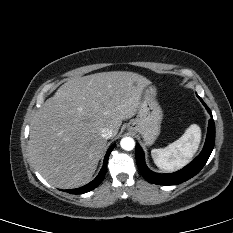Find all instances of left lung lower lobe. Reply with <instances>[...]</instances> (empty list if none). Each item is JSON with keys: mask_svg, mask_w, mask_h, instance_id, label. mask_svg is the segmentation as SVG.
Returning a JSON list of instances; mask_svg holds the SVG:
<instances>
[{"mask_svg": "<svg viewBox=\"0 0 233 233\" xmlns=\"http://www.w3.org/2000/svg\"><path fill=\"white\" fill-rule=\"evenodd\" d=\"M200 101L203 103L207 111L211 114L210 109L203 102V100L199 97ZM212 117V114H211ZM215 142V124L213 121V117L209 121L208 133L204 148L200 155L192 161L189 165L184 167L183 169L172 173V174H158L149 170L144 162V154L139 145H136V161L138 168L143 175V177L153 184L158 185H176L180 184L193 176H195L206 164Z\"/></svg>", "mask_w": 233, "mask_h": 233, "instance_id": "1", "label": "left lung lower lobe"}]
</instances>
